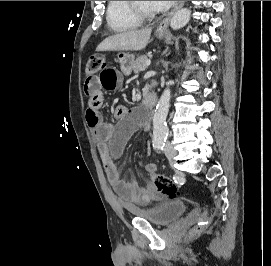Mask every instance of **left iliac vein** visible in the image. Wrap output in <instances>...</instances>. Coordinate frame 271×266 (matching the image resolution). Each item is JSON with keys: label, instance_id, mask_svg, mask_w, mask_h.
<instances>
[{"label": "left iliac vein", "instance_id": "left-iliac-vein-1", "mask_svg": "<svg viewBox=\"0 0 271 266\" xmlns=\"http://www.w3.org/2000/svg\"><path fill=\"white\" fill-rule=\"evenodd\" d=\"M165 155L167 157V159L169 160L170 164H173L174 163V157L176 156L177 154V151L175 150V148L173 147L172 144H167L165 146Z\"/></svg>", "mask_w": 271, "mask_h": 266}]
</instances>
